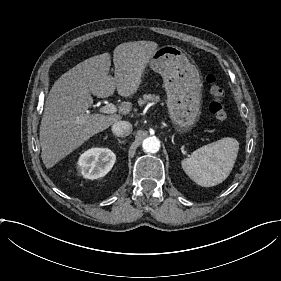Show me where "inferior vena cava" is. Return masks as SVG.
Instances as JSON below:
<instances>
[{
  "mask_svg": "<svg viewBox=\"0 0 281 281\" xmlns=\"http://www.w3.org/2000/svg\"><path fill=\"white\" fill-rule=\"evenodd\" d=\"M132 130V125L125 121H118L112 126V132L120 137L129 136Z\"/></svg>",
  "mask_w": 281,
  "mask_h": 281,
  "instance_id": "602c4592",
  "label": "inferior vena cava"
}]
</instances>
